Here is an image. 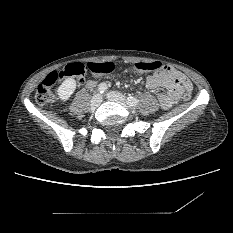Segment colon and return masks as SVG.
<instances>
[{
	"instance_id": "colon-1",
	"label": "colon",
	"mask_w": 233,
	"mask_h": 233,
	"mask_svg": "<svg viewBox=\"0 0 233 233\" xmlns=\"http://www.w3.org/2000/svg\"><path fill=\"white\" fill-rule=\"evenodd\" d=\"M163 67L161 62H137L133 65V69L138 72H154L158 71ZM85 70L95 72L100 75L111 74L114 71V66L109 63H89L83 65L82 63H71L68 64L62 71H53L49 73L44 80L38 85L35 92V101L39 105L49 104L52 100L51 89L54 85L62 79L63 76H69L79 79L83 82V75ZM182 99L189 101L191 99V92L185 91Z\"/></svg>"
}]
</instances>
